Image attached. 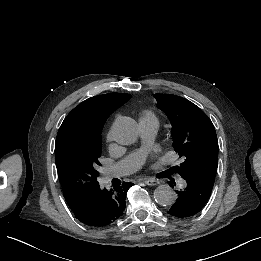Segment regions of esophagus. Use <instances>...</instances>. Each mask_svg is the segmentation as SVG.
<instances>
[{"instance_id":"obj_1","label":"esophagus","mask_w":261,"mask_h":261,"mask_svg":"<svg viewBox=\"0 0 261 261\" xmlns=\"http://www.w3.org/2000/svg\"><path fill=\"white\" fill-rule=\"evenodd\" d=\"M146 185L155 186L158 185L160 182L156 179H147L144 181Z\"/></svg>"}]
</instances>
